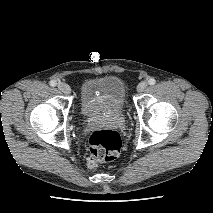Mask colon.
Here are the masks:
<instances>
[{
    "instance_id": "1",
    "label": "colon",
    "mask_w": 213,
    "mask_h": 213,
    "mask_svg": "<svg viewBox=\"0 0 213 213\" xmlns=\"http://www.w3.org/2000/svg\"><path fill=\"white\" fill-rule=\"evenodd\" d=\"M121 146V137L117 131L112 129L94 131L89 137L88 167L94 168L99 162L114 160L119 155Z\"/></svg>"
}]
</instances>
